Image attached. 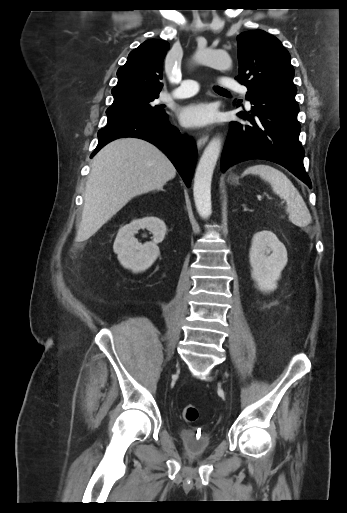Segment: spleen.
Wrapping results in <instances>:
<instances>
[{
    "instance_id": "obj_1",
    "label": "spleen",
    "mask_w": 347,
    "mask_h": 513,
    "mask_svg": "<svg viewBox=\"0 0 347 513\" xmlns=\"http://www.w3.org/2000/svg\"><path fill=\"white\" fill-rule=\"evenodd\" d=\"M244 174L259 175L271 185L273 192L286 201L291 222L300 227L310 223L311 215L302 196L282 171L268 164H257L247 168Z\"/></svg>"
}]
</instances>
